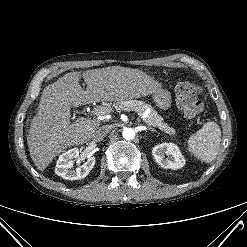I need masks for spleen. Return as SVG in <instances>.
Here are the masks:
<instances>
[{
    "label": "spleen",
    "mask_w": 247,
    "mask_h": 247,
    "mask_svg": "<svg viewBox=\"0 0 247 247\" xmlns=\"http://www.w3.org/2000/svg\"><path fill=\"white\" fill-rule=\"evenodd\" d=\"M221 130L214 121L205 123L199 131L191 135L188 140V150L202 162H212L219 151Z\"/></svg>",
    "instance_id": "1"
}]
</instances>
